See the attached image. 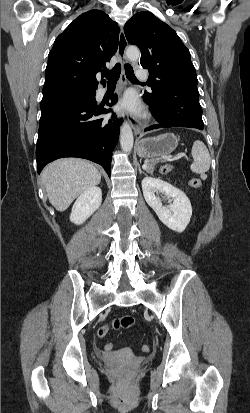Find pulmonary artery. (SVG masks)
Listing matches in <instances>:
<instances>
[{
  "label": "pulmonary artery",
  "mask_w": 250,
  "mask_h": 413,
  "mask_svg": "<svg viewBox=\"0 0 250 413\" xmlns=\"http://www.w3.org/2000/svg\"><path fill=\"white\" fill-rule=\"evenodd\" d=\"M137 78L139 80L145 81L148 77L147 72L144 69H138L136 71Z\"/></svg>",
  "instance_id": "1"
}]
</instances>
